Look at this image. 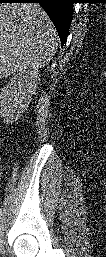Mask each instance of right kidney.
Segmentation results:
<instances>
[{"label":"right kidney","mask_w":106,"mask_h":257,"mask_svg":"<svg viewBox=\"0 0 106 257\" xmlns=\"http://www.w3.org/2000/svg\"><path fill=\"white\" fill-rule=\"evenodd\" d=\"M23 74V75H22ZM25 74V75H24ZM38 70H23L10 79V81L1 89V110L2 116L7 121L13 122L17 119L16 113L26 108L31 96L35 94L37 83L39 81Z\"/></svg>","instance_id":"ca27d5eb"}]
</instances>
